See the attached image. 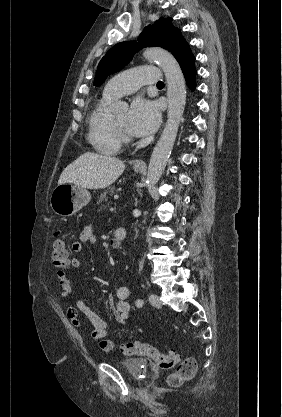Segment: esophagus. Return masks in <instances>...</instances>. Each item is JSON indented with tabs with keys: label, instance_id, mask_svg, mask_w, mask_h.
Instances as JSON below:
<instances>
[{
	"label": "esophagus",
	"instance_id": "obj_1",
	"mask_svg": "<svg viewBox=\"0 0 282 417\" xmlns=\"http://www.w3.org/2000/svg\"><path fill=\"white\" fill-rule=\"evenodd\" d=\"M135 167H146V163L144 162V160H138L135 163Z\"/></svg>",
	"mask_w": 282,
	"mask_h": 417
}]
</instances>
